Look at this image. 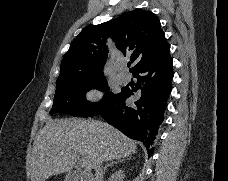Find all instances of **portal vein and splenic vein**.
Listing matches in <instances>:
<instances>
[{
    "label": "portal vein and splenic vein",
    "instance_id": "1",
    "mask_svg": "<svg viewBox=\"0 0 228 181\" xmlns=\"http://www.w3.org/2000/svg\"><path fill=\"white\" fill-rule=\"evenodd\" d=\"M77 165H79V167H85L82 159H77Z\"/></svg>",
    "mask_w": 228,
    "mask_h": 181
}]
</instances>
